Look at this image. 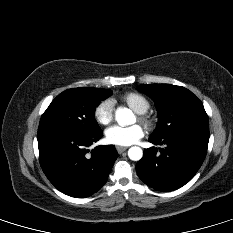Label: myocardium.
Wrapping results in <instances>:
<instances>
[{"label": "myocardium", "instance_id": "f54148a6", "mask_svg": "<svg viewBox=\"0 0 233 233\" xmlns=\"http://www.w3.org/2000/svg\"><path fill=\"white\" fill-rule=\"evenodd\" d=\"M138 120L147 128L152 129L155 125L154 118L150 116L149 114L142 113L139 114Z\"/></svg>", "mask_w": 233, "mask_h": 233}]
</instances>
